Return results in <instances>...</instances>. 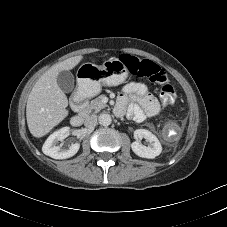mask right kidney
I'll return each instance as SVG.
<instances>
[{"instance_id": "obj_1", "label": "right kidney", "mask_w": 227, "mask_h": 227, "mask_svg": "<svg viewBox=\"0 0 227 227\" xmlns=\"http://www.w3.org/2000/svg\"><path fill=\"white\" fill-rule=\"evenodd\" d=\"M69 129V127H63L51 134L43 144V153L54 159H66L74 156L80 148L79 143L71 144L68 149H62L61 146L55 145L56 142L62 141L69 136Z\"/></svg>"}]
</instances>
